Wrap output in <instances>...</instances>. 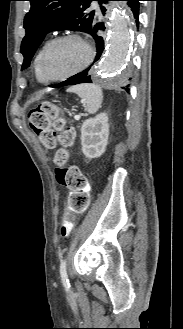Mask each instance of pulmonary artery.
<instances>
[{
  "label": "pulmonary artery",
  "instance_id": "obj_1",
  "mask_svg": "<svg viewBox=\"0 0 183 329\" xmlns=\"http://www.w3.org/2000/svg\"><path fill=\"white\" fill-rule=\"evenodd\" d=\"M90 8H91L92 10H95L97 14H100V8H99V6H98L97 3H95V2L92 3L91 6H90Z\"/></svg>",
  "mask_w": 183,
  "mask_h": 329
}]
</instances>
